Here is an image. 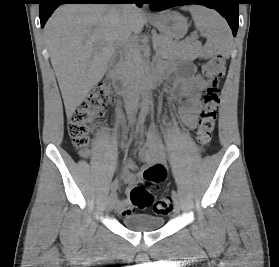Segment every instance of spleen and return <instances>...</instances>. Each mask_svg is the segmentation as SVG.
Here are the masks:
<instances>
[{"label":"spleen","instance_id":"spleen-1","mask_svg":"<svg viewBox=\"0 0 279 267\" xmlns=\"http://www.w3.org/2000/svg\"><path fill=\"white\" fill-rule=\"evenodd\" d=\"M187 10L191 13L196 28L207 38V42L199 53L200 57L219 54L229 57L232 44L231 31L215 10L204 6L193 5Z\"/></svg>","mask_w":279,"mask_h":267}]
</instances>
